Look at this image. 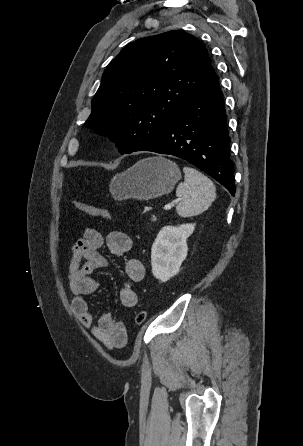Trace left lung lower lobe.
<instances>
[{"label":"left lung lower lobe","mask_w":303,"mask_h":446,"mask_svg":"<svg viewBox=\"0 0 303 446\" xmlns=\"http://www.w3.org/2000/svg\"><path fill=\"white\" fill-rule=\"evenodd\" d=\"M229 144L223 95L215 74L184 103L164 132L136 151L180 157L213 177L234 195L235 177Z\"/></svg>","instance_id":"left-lung-lower-lobe-1"}]
</instances>
